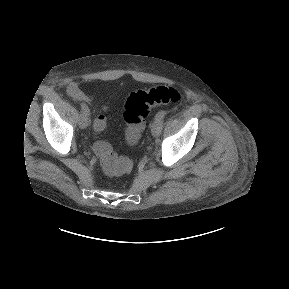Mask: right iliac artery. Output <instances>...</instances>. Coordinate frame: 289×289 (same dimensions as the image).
I'll return each mask as SVG.
<instances>
[{
  "mask_svg": "<svg viewBox=\"0 0 289 289\" xmlns=\"http://www.w3.org/2000/svg\"><path fill=\"white\" fill-rule=\"evenodd\" d=\"M81 109H82V112L86 115H89L90 114V111H89V108L87 107L86 104L84 103H81Z\"/></svg>",
  "mask_w": 289,
  "mask_h": 289,
  "instance_id": "right-iliac-artery-1",
  "label": "right iliac artery"
}]
</instances>
